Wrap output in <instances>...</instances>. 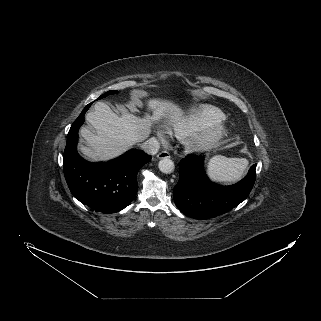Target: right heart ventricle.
Segmentation results:
<instances>
[{
	"label": "right heart ventricle",
	"instance_id": "right-heart-ventricle-1",
	"mask_svg": "<svg viewBox=\"0 0 321 321\" xmlns=\"http://www.w3.org/2000/svg\"><path fill=\"white\" fill-rule=\"evenodd\" d=\"M223 112L214 106H201L175 117L169 124L172 133L184 139L214 122L224 120Z\"/></svg>",
	"mask_w": 321,
	"mask_h": 321
}]
</instances>
